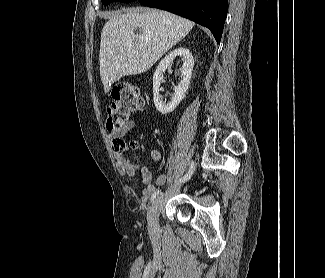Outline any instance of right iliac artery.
Listing matches in <instances>:
<instances>
[{
  "instance_id": "obj_1",
  "label": "right iliac artery",
  "mask_w": 325,
  "mask_h": 278,
  "mask_svg": "<svg viewBox=\"0 0 325 278\" xmlns=\"http://www.w3.org/2000/svg\"><path fill=\"white\" fill-rule=\"evenodd\" d=\"M194 170H195V164H194V162L192 161V162L190 163V167H189L188 172H187V173L184 175V177H182L179 181H180V182H185V181L189 180L190 177L192 176ZM160 193H161V190H159V189L156 190V191L153 193L152 197H151V202L154 201V200L156 199V197L159 196Z\"/></svg>"
}]
</instances>
